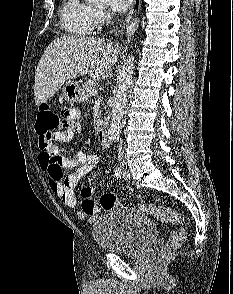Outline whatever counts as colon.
<instances>
[{
  "label": "colon",
  "mask_w": 233,
  "mask_h": 294,
  "mask_svg": "<svg viewBox=\"0 0 233 294\" xmlns=\"http://www.w3.org/2000/svg\"><path fill=\"white\" fill-rule=\"evenodd\" d=\"M60 121H64V118H61L49 106L43 105L40 107L35 123V132L39 137V146L41 150L50 149L55 141L56 135L65 130L61 129ZM45 156L53 155L45 154ZM118 203V198L114 194L107 193L101 196L99 205L106 210H110L116 208ZM141 209L162 222L171 223L180 227L184 224L183 217L171 207L145 203L142 204ZM183 239L184 231L182 228L174 231L162 255L166 256L169 250L179 245Z\"/></svg>",
  "instance_id": "colon-1"
}]
</instances>
